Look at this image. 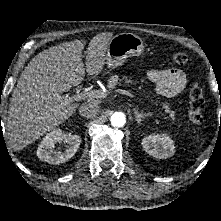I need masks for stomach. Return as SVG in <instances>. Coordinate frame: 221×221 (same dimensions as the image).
Segmentation results:
<instances>
[{"label": "stomach", "instance_id": "1", "mask_svg": "<svg viewBox=\"0 0 221 221\" xmlns=\"http://www.w3.org/2000/svg\"><path fill=\"white\" fill-rule=\"evenodd\" d=\"M144 50L143 40L133 33H120L113 36L107 47L105 64L108 68L121 66L127 57L138 56Z\"/></svg>", "mask_w": 221, "mask_h": 221}]
</instances>
